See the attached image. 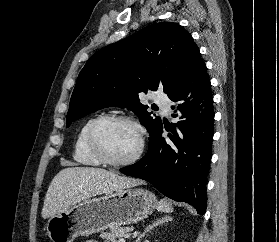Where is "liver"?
Masks as SVG:
<instances>
[{"label": "liver", "instance_id": "obj_1", "mask_svg": "<svg viewBox=\"0 0 279 242\" xmlns=\"http://www.w3.org/2000/svg\"><path fill=\"white\" fill-rule=\"evenodd\" d=\"M142 182L115 172L93 167H67L51 181L42 209L44 219L66 211L74 204Z\"/></svg>", "mask_w": 279, "mask_h": 242}]
</instances>
